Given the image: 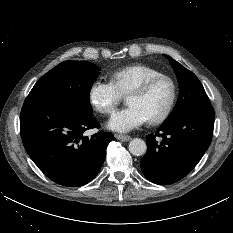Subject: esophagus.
I'll list each match as a JSON object with an SVG mask.
<instances>
[{
  "label": "esophagus",
  "instance_id": "1",
  "mask_svg": "<svg viewBox=\"0 0 233 233\" xmlns=\"http://www.w3.org/2000/svg\"><path fill=\"white\" fill-rule=\"evenodd\" d=\"M115 138L117 140L124 141V142L131 140L130 136H128V135H121V134H115Z\"/></svg>",
  "mask_w": 233,
  "mask_h": 233
}]
</instances>
